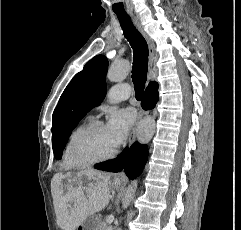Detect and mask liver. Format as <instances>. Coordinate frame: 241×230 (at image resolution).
<instances>
[{
    "mask_svg": "<svg viewBox=\"0 0 241 230\" xmlns=\"http://www.w3.org/2000/svg\"><path fill=\"white\" fill-rule=\"evenodd\" d=\"M82 175L90 176L92 181L86 185L78 182V186H74L71 180L77 181ZM109 181L110 174L93 169L83 170L74 177L56 173L51 191L58 225L63 230H76L86 217L104 209L110 199Z\"/></svg>",
    "mask_w": 241,
    "mask_h": 230,
    "instance_id": "1",
    "label": "liver"
}]
</instances>
